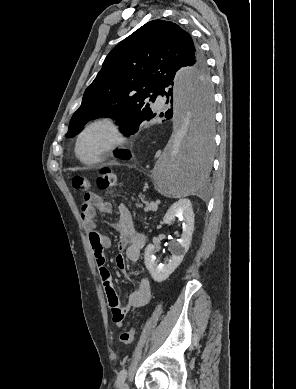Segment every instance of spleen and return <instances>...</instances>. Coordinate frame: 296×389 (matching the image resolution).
Masks as SVG:
<instances>
[{
	"label": "spleen",
	"instance_id": "1",
	"mask_svg": "<svg viewBox=\"0 0 296 389\" xmlns=\"http://www.w3.org/2000/svg\"><path fill=\"white\" fill-rule=\"evenodd\" d=\"M192 179H193V180H196V179H194V178H192ZM194 188H195V184L192 185L191 189L194 190Z\"/></svg>",
	"mask_w": 296,
	"mask_h": 389
}]
</instances>
